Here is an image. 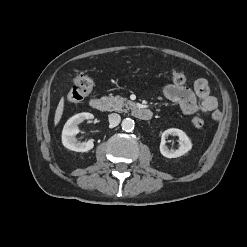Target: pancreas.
Masks as SVG:
<instances>
[{
  "label": "pancreas",
  "instance_id": "obj_1",
  "mask_svg": "<svg viewBox=\"0 0 247 247\" xmlns=\"http://www.w3.org/2000/svg\"><path fill=\"white\" fill-rule=\"evenodd\" d=\"M108 101L112 108L111 110L118 112H127L134 105L131 101L120 96H110L108 97Z\"/></svg>",
  "mask_w": 247,
  "mask_h": 247
}]
</instances>
